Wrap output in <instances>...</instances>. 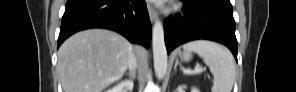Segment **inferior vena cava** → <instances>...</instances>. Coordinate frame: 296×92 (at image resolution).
<instances>
[{
  "label": "inferior vena cava",
  "mask_w": 296,
  "mask_h": 92,
  "mask_svg": "<svg viewBox=\"0 0 296 92\" xmlns=\"http://www.w3.org/2000/svg\"><path fill=\"white\" fill-rule=\"evenodd\" d=\"M128 68L132 72H135L136 67H137V61L135 55L132 53L128 59Z\"/></svg>",
  "instance_id": "obj_1"
}]
</instances>
